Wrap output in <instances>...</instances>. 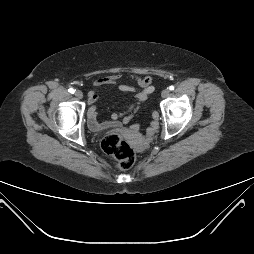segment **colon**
<instances>
[{
	"label": "colon",
	"instance_id": "5ec220e1",
	"mask_svg": "<svg viewBox=\"0 0 254 254\" xmlns=\"http://www.w3.org/2000/svg\"><path fill=\"white\" fill-rule=\"evenodd\" d=\"M103 150L115 159L118 169L128 170L135 162V151L133 147L124 139L121 132L108 134L102 142Z\"/></svg>",
	"mask_w": 254,
	"mask_h": 254
}]
</instances>
